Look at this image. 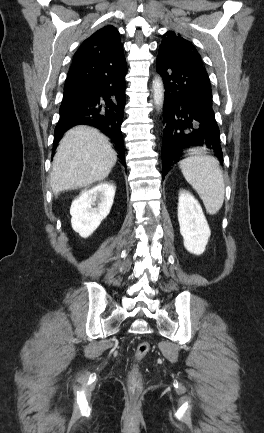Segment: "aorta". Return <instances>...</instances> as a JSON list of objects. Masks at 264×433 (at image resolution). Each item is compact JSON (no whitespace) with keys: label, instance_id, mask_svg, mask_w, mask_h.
Here are the masks:
<instances>
[{"label":"aorta","instance_id":"1","mask_svg":"<svg viewBox=\"0 0 264 433\" xmlns=\"http://www.w3.org/2000/svg\"><path fill=\"white\" fill-rule=\"evenodd\" d=\"M152 89L154 104L159 111L164 103V85L162 78L159 75H157L153 80Z\"/></svg>","mask_w":264,"mask_h":433}]
</instances>
